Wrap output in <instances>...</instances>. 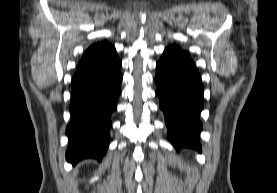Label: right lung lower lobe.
I'll use <instances>...</instances> for the list:
<instances>
[{"instance_id": "obj_1", "label": "right lung lower lobe", "mask_w": 277, "mask_h": 193, "mask_svg": "<svg viewBox=\"0 0 277 193\" xmlns=\"http://www.w3.org/2000/svg\"><path fill=\"white\" fill-rule=\"evenodd\" d=\"M121 61L113 47L103 56L81 63L72 78L71 122L66 160H101L110 141L111 113L121 93Z\"/></svg>"}]
</instances>
